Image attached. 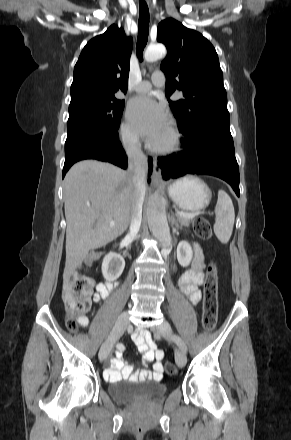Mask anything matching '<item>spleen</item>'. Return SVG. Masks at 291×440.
<instances>
[{
	"mask_svg": "<svg viewBox=\"0 0 291 440\" xmlns=\"http://www.w3.org/2000/svg\"><path fill=\"white\" fill-rule=\"evenodd\" d=\"M215 215L214 233L221 243L226 244L232 235L235 211L231 198L224 190L218 191Z\"/></svg>",
	"mask_w": 291,
	"mask_h": 440,
	"instance_id": "3e777b00",
	"label": "spleen"
}]
</instances>
